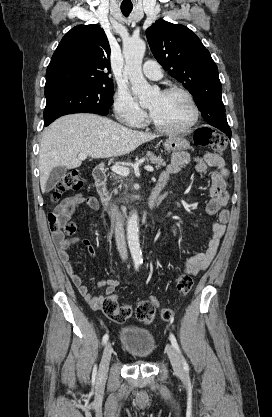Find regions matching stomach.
<instances>
[{
	"instance_id": "1",
	"label": "stomach",
	"mask_w": 272,
	"mask_h": 417,
	"mask_svg": "<svg viewBox=\"0 0 272 417\" xmlns=\"http://www.w3.org/2000/svg\"><path fill=\"white\" fill-rule=\"evenodd\" d=\"M190 147L189 142L180 136H173L164 142V148L168 152L186 150Z\"/></svg>"
}]
</instances>
